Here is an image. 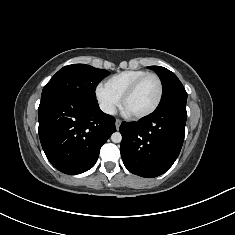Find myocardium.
Segmentation results:
<instances>
[{
    "label": "myocardium",
    "instance_id": "myocardium-1",
    "mask_svg": "<svg viewBox=\"0 0 235 235\" xmlns=\"http://www.w3.org/2000/svg\"><path fill=\"white\" fill-rule=\"evenodd\" d=\"M148 77H154L157 82H158V86H159V93H158V98L156 100V102L154 103V105L141 113H137V114H130V116L132 118L135 119H141L144 117H147L151 114H153L158 107L160 106L162 99H163V94H164V86H163V82L161 80V78L159 77V75H157L156 73H152V72H148L142 76H140L139 78H137L127 89L126 91L123 93V95L121 96V107L124 109V104L126 102V100L133 95V93L136 91V89L138 88V86Z\"/></svg>",
    "mask_w": 235,
    "mask_h": 235
}]
</instances>
